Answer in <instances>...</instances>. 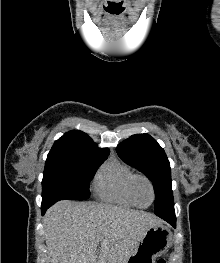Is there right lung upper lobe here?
Returning a JSON list of instances; mask_svg holds the SVG:
<instances>
[{"mask_svg": "<svg viewBox=\"0 0 220 263\" xmlns=\"http://www.w3.org/2000/svg\"><path fill=\"white\" fill-rule=\"evenodd\" d=\"M51 151L87 152L97 155H109V149H100L85 133L73 130L55 141Z\"/></svg>", "mask_w": 220, "mask_h": 263, "instance_id": "obj_1", "label": "right lung upper lobe"}]
</instances>
